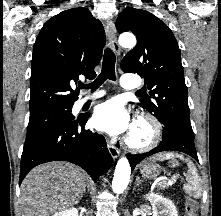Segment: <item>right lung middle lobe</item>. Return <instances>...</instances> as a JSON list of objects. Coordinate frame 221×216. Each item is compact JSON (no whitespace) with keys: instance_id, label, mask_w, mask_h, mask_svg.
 Returning a JSON list of instances; mask_svg holds the SVG:
<instances>
[{"instance_id":"right-lung-middle-lobe-1","label":"right lung middle lobe","mask_w":221,"mask_h":216,"mask_svg":"<svg viewBox=\"0 0 221 216\" xmlns=\"http://www.w3.org/2000/svg\"><path fill=\"white\" fill-rule=\"evenodd\" d=\"M72 105L48 109L30 115L25 144L37 139L50 129L68 123L74 119Z\"/></svg>"}]
</instances>
